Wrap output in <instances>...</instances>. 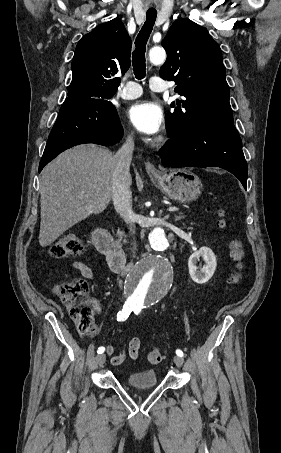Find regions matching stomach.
<instances>
[{
	"instance_id": "1",
	"label": "stomach",
	"mask_w": 281,
	"mask_h": 453,
	"mask_svg": "<svg viewBox=\"0 0 281 453\" xmlns=\"http://www.w3.org/2000/svg\"><path fill=\"white\" fill-rule=\"evenodd\" d=\"M150 178L166 196L178 202H191L201 194L199 176L187 168L160 170L157 174H150Z\"/></svg>"
}]
</instances>
